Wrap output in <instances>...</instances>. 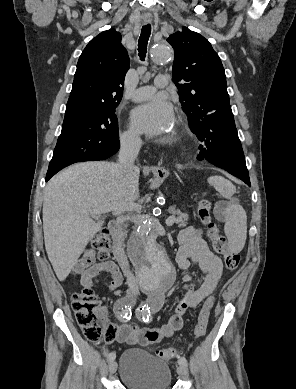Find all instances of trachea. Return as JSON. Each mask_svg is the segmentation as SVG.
Masks as SVG:
<instances>
[{
	"label": "trachea",
	"instance_id": "obj_1",
	"mask_svg": "<svg viewBox=\"0 0 296 389\" xmlns=\"http://www.w3.org/2000/svg\"><path fill=\"white\" fill-rule=\"evenodd\" d=\"M151 35V25L147 24L142 27L141 35L138 40L139 57L143 61L147 53V44Z\"/></svg>",
	"mask_w": 296,
	"mask_h": 389
}]
</instances>
